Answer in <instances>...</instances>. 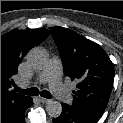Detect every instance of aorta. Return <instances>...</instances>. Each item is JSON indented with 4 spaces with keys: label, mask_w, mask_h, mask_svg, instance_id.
I'll return each instance as SVG.
<instances>
[{
    "label": "aorta",
    "mask_w": 123,
    "mask_h": 123,
    "mask_svg": "<svg viewBox=\"0 0 123 123\" xmlns=\"http://www.w3.org/2000/svg\"><path fill=\"white\" fill-rule=\"evenodd\" d=\"M27 63L34 69H43L47 65V55L39 48H33L27 54ZM46 111L50 117L57 118L62 113V105L58 101H50L46 106Z\"/></svg>",
    "instance_id": "1"
}]
</instances>
